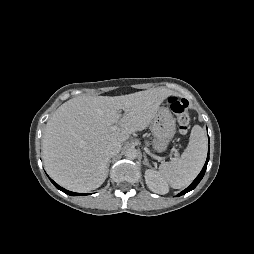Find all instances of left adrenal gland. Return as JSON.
Instances as JSON below:
<instances>
[{
    "instance_id": "1",
    "label": "left adrenal gland",
    "mask_w": 254,
    "mask_h": 254,
    "mask_svg": "<svg viewBox=\"0 0 254 254\" xmlns=\"http://www.w3.org/2000/svg\"><path fill=\"white\" fill-rule=\"evenodd\" d=\"M144 161H143V164L144 165H147V166H149V162H148V159H147V156H146V154L144 153Z\"/></svg>"
}]
</instances>
